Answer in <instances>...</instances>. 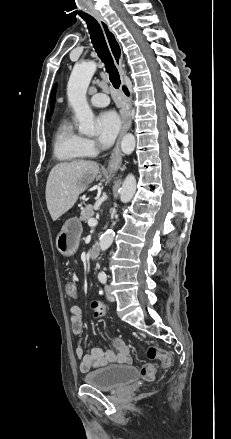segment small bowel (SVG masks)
<instances>
[{"label":"small bowel","mask_w":231,"mask_h":439,"mask_svg":"<svg viewBox=\"0 0 231 439\" xmlns=\"http://www.w3.org/2000/svg\"><path fill=\"white\" fill-rule=\"evenodd\" d=\"M104 307V306H103ZM70 324L72 333L79 336L83 329V310L74 305L70 308ZM113 348H92L89 352L78 346L75 355L79 359V369L82 372L94 368L104 367L109 364H127L130 362L129 348L121 338H114Z\"/></svg>","instance_id":"1"}]
</instances>
